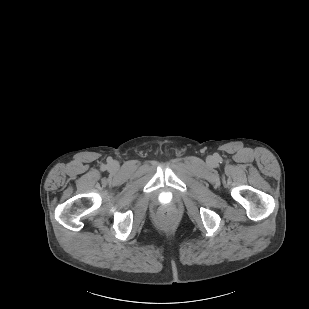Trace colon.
<instances>
[{
  "mask_svg": "<svg viewBox=\"0 0 309 309\" xmlns=\"http://www.w3.org/2000/svg\"><path fill=\"white\" fill-rule=\"evenodd\" d=\"M171 217H172V215L169 212H163L162 213V219L163 220H169Z\"/></svg>",
  "mask_w": 309,
  "mask_h": 309,
  "instance_id": "1",
  "label": "colon"
}]
</instances>
